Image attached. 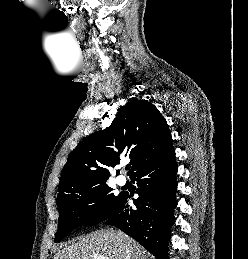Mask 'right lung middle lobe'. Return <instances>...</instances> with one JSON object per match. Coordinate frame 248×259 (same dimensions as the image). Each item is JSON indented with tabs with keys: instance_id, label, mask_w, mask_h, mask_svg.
Returning <instances> with one entry per match:
<instances>
[{
	"instance_id": "right-lung-middle-lobe-1",
	"label": "right lung middle lobe",
	"mask_w": 248,
	"mask_h": 259,
	"mask_svg": "<svg viewBox=\"0 0 248 259\" xmlns=\"http://www.w3.org/2000/svg\"><path fill=\"white\" fill-rule=\"evenodd\" d=\"M112 190L102 182L77 187L58 197L59 223L54 241L59 242L77 227L94 225L112 217L124 195L123 192L114 195Z\"/></svg>"
}]
</instances>
